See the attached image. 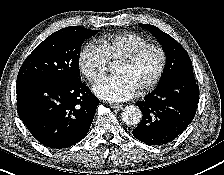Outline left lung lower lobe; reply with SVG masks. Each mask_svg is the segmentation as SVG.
I'll return each instance as SVG.
<instances>
[{
	"label": "left lung lower lobe",
	"mask_w": 224,
	"mask_h": 175,
	"mask_svg": "<svg viewBox=\"0 0 224 175\" xmlns=\"http://www.w3.org/2000/svg\"><path fill=\"white\" fill-rule=\"evenodd\" d=\"M199 99V86L193 73H182L164 82L137 103L143 113L132 131L148 145L160 146L178 137L193 120Z\"/></svg>",
	"instance_id": "1"
}]
</instances>
